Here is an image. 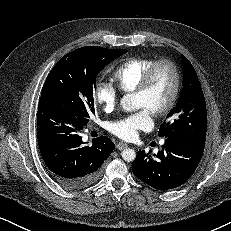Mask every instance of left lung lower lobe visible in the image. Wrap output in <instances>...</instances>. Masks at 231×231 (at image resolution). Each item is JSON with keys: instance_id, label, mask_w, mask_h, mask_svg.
I'll return each instance as SVG.
<instances>
[{"instance_id": "1", "label": "left lung lower lobe", "mask_w": 231, "mask_h": 231, "mask_svg": "<svg viewBox=\"0 0 231 231\" xmlns=\"http://www.w3.org/2000/svg\"><path fill=\"white\" fill-rule=\"evenodd\" d=\"M204 147L205 141L166 138L162 150L154 156L138 151L133 173L157 190L179 187L194 173Z\"/></svg>"}]
</instances>
